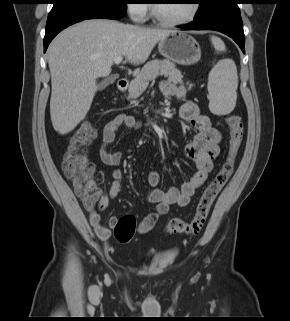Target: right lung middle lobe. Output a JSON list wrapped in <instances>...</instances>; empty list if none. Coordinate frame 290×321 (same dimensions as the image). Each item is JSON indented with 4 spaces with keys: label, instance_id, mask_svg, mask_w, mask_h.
I'll use <instances>...</instances> for the list:
<instances>
[{
    "label": "right lung middle lobe",
    "instance_id": "right-lung-middle-lobe-1",
    "mask_svg": "<svg viewBox=\"0 0 290 321\" xmlns=\"http://www.w3.org/2000/svg\"><path fill=\"white\" fill-rule=\"evenodd\" d=\"M53 11L77 10L87 12L126 10L127 0H53Z\"/></svg>",
    "mask_w": 290,
    "mask_h": 321
}]
</instances>
